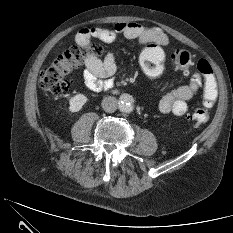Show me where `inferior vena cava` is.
Masks as SVG:
<instances>
[{
  "mask_svg": "<svg viewBox=\"0 0 233 233\" xmlns=\"http://www.w3.org/2000/svg\"><path fill=\"white\" fill-rule=\"evenodd\" d=\"M118 107V101L114 97H105L102 101V108L105 112L113 113Z\"/></svg>",
  "mask_w": 233,
  "mask_h": 233,
  "instance_id": "inferior-vena-cava-1",
  "label": "inferior vena cava"
}]
</instances>
